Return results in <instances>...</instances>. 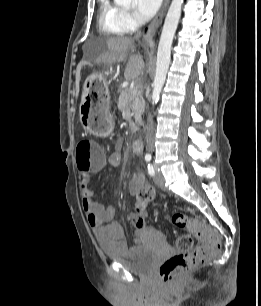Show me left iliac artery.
<instances>
[{
	"label": "left iliac artery",
	"instance_id": "left-iliac-artery-1",
	"mask_svg": "<svg viewBox=\"0 0 261 306\" xmlns=\"http://www.w3.org/2000/svg\"><path fill=\"white\" fill-rule=\"evenodd\" d=\"M148 173H149L150 176L155 175V171H154V168H153L152 164H148Z\"/></svg>",
	"mask_w": 261,
	"mask_h": 306
}]
</instances>
